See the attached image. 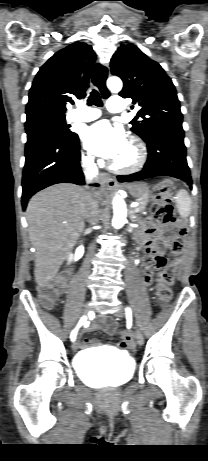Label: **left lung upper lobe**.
Listing matches in <instances>:
<instances>
[{"label": "left lung upper lobe", "instance_id": "obj_1", "mask_svg": "<svg viewBox=\"0 0 208 461\" xmlns=\"http://www.w3.org/2000/svg\"><path fill=\"white\" fill-rule=\"evenodd\" d=\"M111 73L119 76L123 98H131L139 111L131 130L145 142L163 129L182 130L183 115L172 80L163 68L133 44H122L111 59ZM134 106H131L133 109Z\"/></svg>", "mask_w": 208, "mask_h": 461}]
</instances>
